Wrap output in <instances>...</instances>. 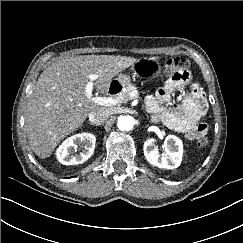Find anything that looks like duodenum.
Masks as SVG:
<instances>
[{
	"instance_id": "1",
	"label": "duodenum",
	"mask_w": 243,
	"mask_h": 243,
	"mask_svg": "<svg viewBox=\"0 0 243 243\" xmlns=\"http://www.w3.org/2000/svg\"><path fill=\"white\" fill-rule=\"evenodd\" d=\"M121 86L118 83H112L108 88V93L110 95H116L120 92Z\"/></svg>"
}]
</instances>
